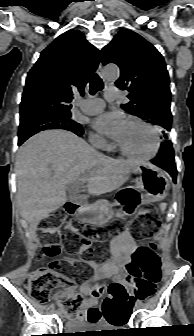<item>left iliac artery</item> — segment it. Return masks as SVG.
I'll return each instance as SVG.
<instances>
[{"instance_id": "left-iliac-artery-1", "label": "left iliac artery", "mask_w": 194, "mask_h": 336, "mask_svg": "<svg viewBox=\"0 0 194 336\" xmlns=\"http://www.w3.org/2000/svg\"><path fill=\"white\" fill-rule=\"evenodd\" d=\"M136 305H141V301H137Z\"/></svg>"}]
</instances>
